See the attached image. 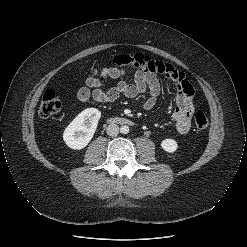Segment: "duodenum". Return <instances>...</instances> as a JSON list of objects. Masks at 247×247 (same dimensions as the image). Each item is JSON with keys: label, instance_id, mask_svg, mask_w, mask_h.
Returning <instances> with one entry per match:
<instances>
[{"label": "duodenum", "instance_id": "1", "mask_svg": "<svg viewBox=\"0 0 247 247\" xmlns=\"http://www.w3.org/2000/svg\"><path fill=\"white\" fill-rule=\"evenodd\" d=\"M113 122L120 123V124H130V120L125 119V118H113Z\"/></svg>", "mask_w": 247, "mask_h": 247}]
</instances>
